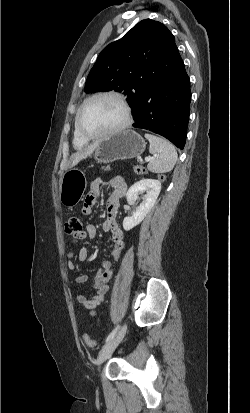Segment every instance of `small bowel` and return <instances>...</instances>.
I'll return each instance as SVG.
<instances>
[{
	"mask_svg": "<svg viewBox=\"0 0 250 413\" xmlns=\"http://www.w3.org/2000/svg\"><path fill=\"white\" fill-rule=\"evenodd\" d=\"M105 186H110L112 192L107 201V217L103 222L102 228L105 232L111 233L112 245L108 250L111 258L114 261H119L122 253L125 250L124 235L116 222V213L119 205V200L122 198L126 192V183L120 176H114L110 179H96L90 188L89 194L86 197L83 213L90 214L92 211V206L101 195V189ZM96 235V227L93 224H86L84 229L75 230L74 236L75 241L70 245L67 253L68 258V268L70 270H75L76 266L73 263V258L75 253L72 249V245L75 242L82 241L83 245L80 248L77 257L80 262H85L88 258V244L89 241ZM113 274V263L109 260H105L102 266L98 269L94 278V288L95 294L91 297H87L84 293H79L77 295V302L83 305L86 309L92 313L104 300L105 294L109 289L110 280ZM88 280L87 275L78 274L75 277V282L77 284H85Z\"/></svg>",
	"mask_w": 250,
	"mask_h": 413,
	"instance_id": "c3829d8e",
	"label": "small bowel"
}]
</instances>
